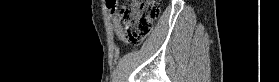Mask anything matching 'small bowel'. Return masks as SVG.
<instances>
[{
	"mask_svg": "<svg viewBox=\"0 0 279 82\" xmlns=\"http://www.w3.org/2000/svg\"><path fill=\"white\" fill-rule=\"evenodd\" d=\"M117 5H118V2H116V1L107 3V7L110 11V16H111L115 36L117 37V39L124 41L125 40V30L121 26V24L116 16V13H115Z\"/></svg>",
	"mask_w": 279,
	"mask_h": 82,
	"instance_id": "obj_1",
	"label": "small bowel"
}]
</instances>
